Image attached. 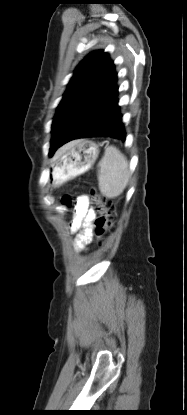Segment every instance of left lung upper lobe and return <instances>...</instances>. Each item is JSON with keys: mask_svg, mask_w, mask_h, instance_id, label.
<instances>
[{"mask_svg": "<svg viewBox=\"0 0 187 415\" xmlns=\"http://www.w3.org/2000/svg\"><path fill=\"white\" fill-rule=\"evenodd\" d=\"M109 61L107 53L101 50L94 51L85 57L75 69L53 120L50 154L57 150L66 130L84 109V102L91 87ZM85 113L89 114V107Z\"/></svg>", "mask_w": 187, "mask_h": 415, "instance_id": "left-lung-upper-lobe-1", "label": "left lung upper lobe"}]
</instances>
